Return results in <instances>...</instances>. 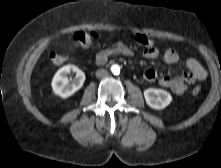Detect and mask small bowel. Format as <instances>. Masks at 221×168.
Masks as SVG:
<instances>
[{
	"label": "small bowel",
	"instance_id": "obj_1",
	"mask_svg": "<svg viewBox=\"0 0 221 168\" xmlns=\"http://www.w3.org/2000/svg\"><path fill=\"white\" fill-rule=\"evenodd\" d=\"M134 54L131 47L123 42H116L113 45L99 51L95 55V60L98 64H104L109 57L114 55L132 56ZM160 55L159 50L155 47L145 48L144 56L146 58H157ZM163 59L167 63H175L179 59L178 53L174 49H166L162 54ZM186 71L181 77L172 78L169 76H162L159 78L158 83L160 86L169 89L176 95H182L188 89L189 85L195 81L205 79L207 72L204 67L195 58L186 59ZM143 78L148 82L157 80L158 74L156 70L149 68L144 71Z\"/></svg>",
	"mask_w": 221,
	"mask_h": 168
}]
</instances>
